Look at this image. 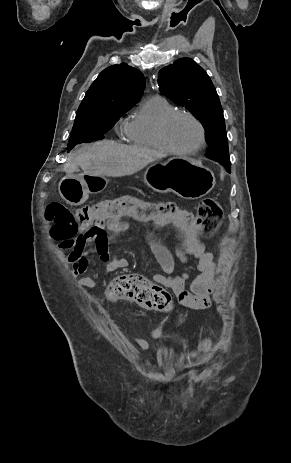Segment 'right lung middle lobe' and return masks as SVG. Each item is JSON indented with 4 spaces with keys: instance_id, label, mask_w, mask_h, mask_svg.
I'll use <instances>...</instances> for the list:
<instances>
[{
    "instance_id": "obj_1",
    "label": "right lung middle lobe",
    "mask_w": 291,
    "mask_h": 463,
    "mask_svg": "<svg viewBox=\"0 0 291 463\" xmlns=\"http://www.w3.org/2000/svg\"><path fill=\"white\" fill-rule=\"evenodd\" d=\"M133 105L109 103L95 109L77 111L67 149L104 138L118 119Z\"/></svg>"
}]
</instances>
